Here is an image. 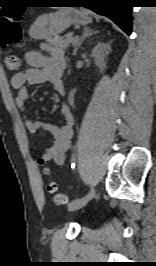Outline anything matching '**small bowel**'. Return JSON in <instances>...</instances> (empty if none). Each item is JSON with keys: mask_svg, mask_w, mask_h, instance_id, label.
<instances>
[{"mask_svg": "<svg viewBox=\"0 0 156 266\" xmlns=\"http://www.w3.org/2000/svg\"><path fill=\"white\" fill-rule=\"evenodd\" d=\"M44 50L49 51V55L42 51H28L25 60L28 68L16 73L11 78V86L16 90L15 103L17 108L23 113V120L26 128L31 133L49 132L52 135L50 147L40 154L42 161H54L62 165L65 161L67 152L71 147L73 136L74 116L70 107L63 104L60 113L64 119V124L57 127L52 124L44 123L40 120L29 118L26 114V104L29 99L28 86L49 83L55 91L63 95L65 92L62 76L66 67V61L62 51L43 46Z\"/></svg>", "mask_w": 156, "mask_h": 266, "instance_id": "c3829d8e", "label": "small bowel"}]
</instances>
